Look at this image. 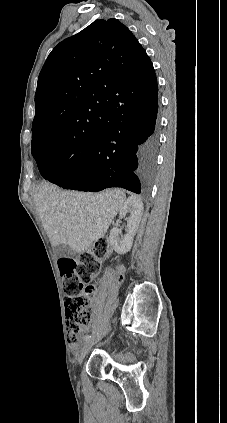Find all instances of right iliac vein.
<instances>
[{"label":"right iliac vein","mask_w":227,"mask_h":423,"mask_svg":"<svg viewBox=\"0 0 227 423\" xmlns=\"http://www.w3.org/2000/svg\"><path fill=\"white\" fill-rule=\"evenodd\" d=\"M108 327H109V324H107L105 326V328L97 336H95L92 339H89L85 342V344H84V346L81 350L80 357L78 358V362H79L80 365L83 363V360H84L86 354L89 352L90 348L95 343H97L106 334Z\"/></svg>","instance_id":"1"}]
</instances>
